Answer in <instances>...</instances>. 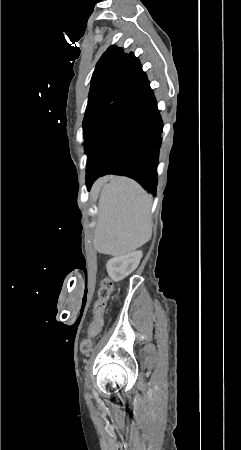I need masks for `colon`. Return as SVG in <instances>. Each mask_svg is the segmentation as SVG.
<instances>
[{"mask_svg":"<svg viewBox=\"0 0 241 450\" xmlns=\"http://www.w3.org/2000/svg\"><path fill=\"white\" fill-rule=\"evenodd\" d=\"M113 290L112 282L109 279H105L102 282V287L99 291L98 299L92 306V313L94 314L93 321L89 322L90 330H99L102 324L101 316L105 313L106 308L104 302H107ZM79 353L86 356L91 353L93 349V342L91 339H84L81 342Z\"/></svg>","mask_w":241,"mask_h":450,"instance_id":"obj_1","label":"colon"}]
</instances>
